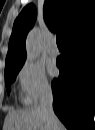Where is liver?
Returning a JSON list of instances; mask_svg holds the SVG:
<instances>
[{
  "label": "liver",
  "instance_id": "6515ba94",
  "mask_svg": "<svg viewBox=\"0 0 95 130\" xmlns=\"http://www.w3.org/2000/svg\"><path fill=\"white\" fill-rule=\"evenodd\" d=\"M3 130H49L46 119L36 105L23 110H11L5 117ZM58 130H64L58 120Z\"/></svg>",
  "mask_w": 95,
  "mask_h": 130
}]
</instances>
